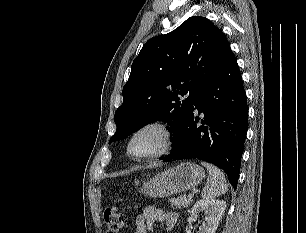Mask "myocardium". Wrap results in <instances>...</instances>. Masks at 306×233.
Instances as JSON below:
<instances>
[{"mask_svg":"<svg viewBox=\"0 0 306 233\" xmlns=\"http://www.w3.org/2000/svg\"><path fill=\"white\" fill-rule=\"evenodd\" d=\"M147 129H156L162 134V144L158 150L155 152L148 154V155H143V156H135L131 153L130 146L133 141V139L142 131L147 130ZM174 131L170 123H168L165 120L162 119H154V120H149L147 122L142 123L138 127H136L131 134L129 135L126 145H125V152L126 155L134 160V161H145L149 159H154L158 158L160 156H163L167 154L173 147L174 145Z\"/></svg>","mask_w":306,"mask_h":233,"instance_id":"f54148a6","label":"myocardium"}]
</instances>
